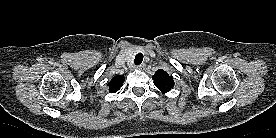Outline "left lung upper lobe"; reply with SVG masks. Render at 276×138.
Returning <instances> with one entry per match:
<instances>
[{"instance_id": "obj_1", "label": "left lung upper lobe", "mask_w": 276, "mask_h": 138, "mask_svg": "<svg viewBox=\"0 0 276 138\" xmlns=\"http://www.w3.org/2000/svg\"><path fill=\"white\" fill-rule=\"evenodd\" d=\"M153 80L155 86L163 93L170 91L174 86L173 77L162 69L155 72Z\"/></svg>"}]
</instances>
